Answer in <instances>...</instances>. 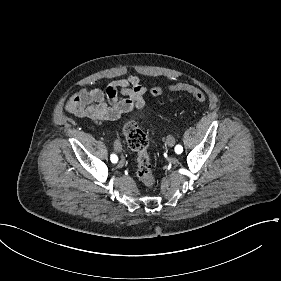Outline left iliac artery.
Masks as SVG:
<instances>
[{
  "label": "left iliac artery",
  "instance_id": "1",
  "mask_svg": "<svg viewBox=\"0 0 281 281\" xmlns=\"http://www.w3.org/2000/svg\"><path fill=\"white\" fill-rule=\"evenodd\" d=\"M183 151V147L181 145H176L175 152L177 154H180Z\"/></svg>",
  "mask_w": 281,
  "mask_h": 281
}]
</instances>
